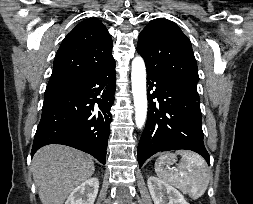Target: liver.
I'll return each instance as SVG.
<instances>
[{
    "label": "liver",
    "instance_id": "obj_1",
    "mask_svg": "<svg viewBox=\"0 0 253 204\" xmlns=\"http://www.w3.org/2000/svg\"><path fill=\"white\" fill-rule=\"evenodd\" d=\"M31 169L42 204H63L76 187L93 175L95 166L89 155L52 144L35 153Z\"/></svg>",
    "mask_w": 253,
    "mask_h": 204
}]
</instances>
